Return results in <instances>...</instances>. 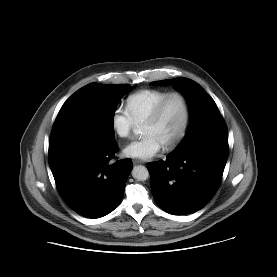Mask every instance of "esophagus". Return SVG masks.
<instances>
[{
    "label": "esophagus",
    "mask_w": 277,
    "mask_h": 277,
    "mask_svg": "<svg viewBox=\"0 0 277 277\" xmlns=\"http://www.w3.org/2000/svg\"><path fill=\"white\" fill-rule=\"evenodd\" d=\"M133 163L134 164H142V163H144L142 160H139V159H135V160H133Z\"/></svg>",
    "instance_id": "obj_1"
}]
</instances>
